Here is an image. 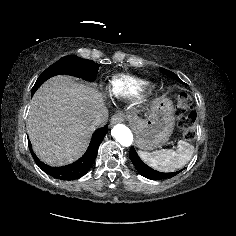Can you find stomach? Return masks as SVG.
I'll return each instance as SVG.
<instances>
[{"label":"stomach","instance_id":"stomach-1","mask_svg":"<svg viewBox=\"0 0 236 236\" xmlns=\"http://www.w3.org/2000/svg\"><path fill=\"white\" fill-rule=\"evenodd\" d=\"M173 104L166 97L155 99L150 114L145 119L129 115L135 133L136 146L142 150H152L166 142L174 130Z\"/></svg>","mask_w":236,"mask_h":236}]
</instances>
